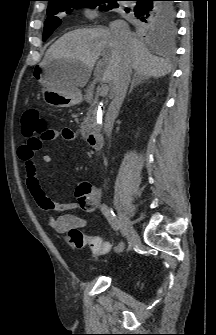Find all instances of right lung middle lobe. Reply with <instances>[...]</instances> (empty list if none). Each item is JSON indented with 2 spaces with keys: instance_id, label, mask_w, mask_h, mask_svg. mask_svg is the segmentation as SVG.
I'll use <instances>...</instances> for the list:
<instances>
[{
  "instance_id": "dd1d6c3e",
  "label": "right lung middle lobe",
  "mask_w": 216,
  "mask_h": 335,
  "mask_svg": "<svg viewBox=\"0 0 216 335\" xmlns=\"http://www.w3.org/2000/svg\"><path fill=\"white\" fill-rule=\"evenodd\" d=\"M117 1L118 0H63L49 4L47 9L48 17L44 23L43 40L45 41L51 35V33L61 24L62 21L57 16V14L61 12L70 13L72 9L82 7L95 8L98 6L99 8L104 10H111L119 6ZM162 5L168 9L174 8L172 2H164ZM127 13H129L127 17L135 22V15L131 11ZM139 28L151 34L173 35L175 33V24L172 26H167L162 25L160 22H152Z\"/></svg>"
}]
</instances>
